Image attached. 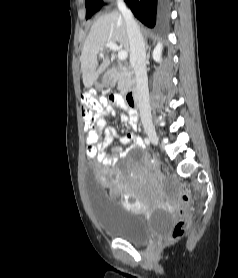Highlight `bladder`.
Segmentation results:
<instances>
[{
  "label": "bladder",
  "instance_id": "bladder-1",
  "mask_svg": "<svg viewBox=\"0 0 238 278\" xmlns=\"http://www.w3.org/2000/svg\"><path fill=\"white\" fill-rule=\"evenodd\" d=\"M85 180H96V175L86 172ZM97 185V181H86L94 218L105 235L133 244H142L173 226L174 216L171 213L157 210L147 218L143 213L127 209L104 191L103 186Z\"/></svg>",
  "mask_w": 238,
  "mask_h": 278
}]
</instances>
